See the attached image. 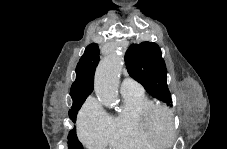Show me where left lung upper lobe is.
<instances>
[{
    "label": "left lung upper lobe",
    "instance_id": "1",
    "mask_svg": "<svg viewBox=\"0 0 227 149\" xmlns=\"http://www.w3.org/2000/svg\"><path fill=\"white\" fill-rule=\"evenodd\" d=\"M129 75L144 86L153 97L170 104L167 71L159 46L152 42L131 45L125 55Z\"/></svg>",
    "mask_w": 227,
    "mask_h": 149
}]
</instances>
